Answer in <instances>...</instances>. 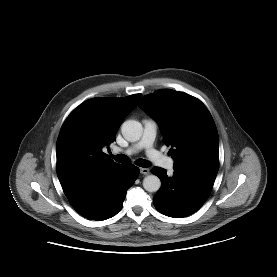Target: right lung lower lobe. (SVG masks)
I'll list each match as a JSON object with an SVG mask.
<instances>
[{
    "instance_id": "obj_1",
    "label": "right lung lower lobe",
    "mask_w": 277,
    "mask_h": 277,
    "mask_svg": "<svg viewBox=\"0 0 277 277\" xmlns=\"http://www.w3.org/2000/svg\"><path fill=\"white\" fill-rule=\"evenodd\" d=\"M138 175V167L116 164L64 193L80 215L102 221L121 210L126 192Z\"/></svg>"
}]
</instances>
